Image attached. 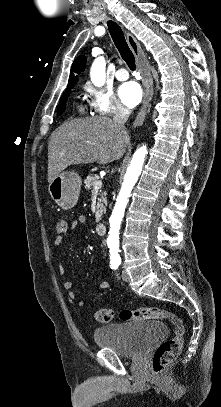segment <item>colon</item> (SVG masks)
<instances>
[{"instance_id": "5ec220e1", "label": "colon", "mask_w": 221, "mask_h": 407, "mask_svg": "<svg viewBox=\"0 0 221 407\" xmlns=\"http://www.w3.org/2000/svg\"><path fill=\"white\" fill-rule=\"evenodd\" d=\"M56 232L59 235H64L68 232V221L61 217L56 224ZM116 313L112 309H99L94 313V317L98 322L109 323L114 320ZM119 316L124 321L131 320H156L169 321L174 328L175 335L163 341L155 350L153 355L152 372L154 375H159L166 371L173 361L179 356L185 326L181 319L176 317L169 311L164 309L149 306L142 307L136 310H123Z\"/></svg>"}]
</instances>
